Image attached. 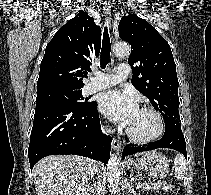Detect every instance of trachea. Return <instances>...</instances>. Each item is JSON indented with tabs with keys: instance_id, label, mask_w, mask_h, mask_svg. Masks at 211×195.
<instances>
[{
	"instance_id": "trachea-1",
	"label": "trachea",
	"mask_w": 211,
	"mask_h": 195,
	"mask_svg": "<svg viewBox=\"0 0 211 195\" xmlns=\"http://www.w3.org/2000/svg\"><path fill=\"white\" fill-rule=\"evenodd\" d=\"M110 52H111L110 37L108 29L107 27H105L103 33L101 55H100V64L102 69L105 68V66L110 62Z\"/></svg>"
}]
</instances>
